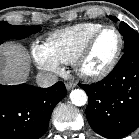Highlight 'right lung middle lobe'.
<instances>
[{
  "label": "right lung middle lobe",
  "mask_w": 139,
  "mask_h": 139,
  "mask_svg": "<svg viewBox=\"0 0 139 139\" xmlns=\"http://www.w3.org/2000/svg\"><path fill=\"white\" fill-rule=\"evenodd\" d=\"M41 30L39 26L10 25L4 21L0 22V43L5 39H23Z\"/></svg>",
  "instance_id": "dd1d6c3e"
}]
</instances>
